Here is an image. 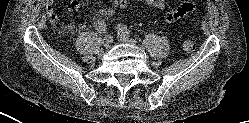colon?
<instances>
[{
  "label": "colon",
  "instance_id": "1",
  "mask_svg": "<svg viewBox=\"0 0 249 123\" xmlns=\"http://www.w3.org/2000/svg\"><path fill=\"white\" fill-rule=\"evenodd\" d=\"M181 47L185 53L191 54L194 52L196 46L194 40L191 37H184L181 41Z\"/></svg>",
  "mask_w": 249,
  "mask_h": 123
}]
</instances>
